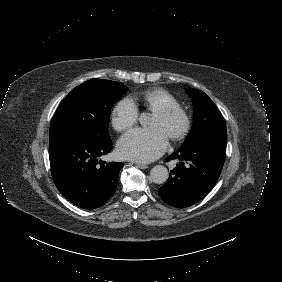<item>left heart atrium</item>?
<instances>
[{
    "label": "left heart atrium",
    "instance_id": "left-heart-atrium-1",
    "mask_svg": "<svg viewBox=\"0 0 282 282\" xmlns=\"http://www.w3.org/2000/svg\"><path fill=\"white\" fill-rule=\"evenodd\" d=\"M166 147L167 136L159 127L131 130L118 142V151L123 158L142 163L158 158Z\"/></svg>",
    "mask_w": 282,
    "mask_h": 282
}]
</instances>
